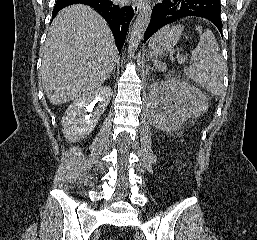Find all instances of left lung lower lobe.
Returning <instances> with one entry per match:
<instances>
[{
	"label": "left lung lower lobe",
	"mask_w": 257,
	"mask_h": 240,
	"mask_svg": "<svg viewBox=\"0 0 257 240\" xmlns=\"http://www.w3.org/2000/svg\"><path fill=\"white\" fill-rule=\"evenodd\" d=\"M186 17H198L213 23L222 35L220 0H163L152 10L144 42L163 26Z\"/></svg>",
	"instance_id": "0a47b994"
}]
</instances>
